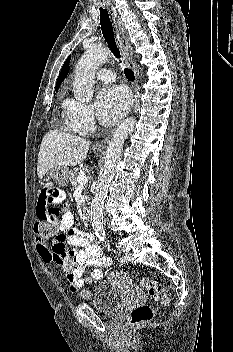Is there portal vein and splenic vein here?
I'll list each match as a JSON object with an SVG mask.
<instances>
[{
  "label": "portal vein and splenic vein",
  "mask_w": 233,
  "mask_h": 352,
  "mask_svg": "<svg viewBox=\"0 0 233 352\" xmlns=\"http://www.w3.org/2000/svg\"><path fill=\"white\" fill-rule=\"evenodd\" d=\"M77 181L80 185H85L88 182V177L86 175H78Z\"/></svg>",
  "instance_id": "1"
}]
</instances>
